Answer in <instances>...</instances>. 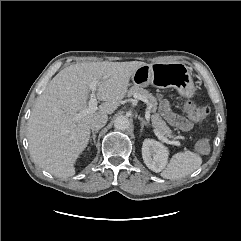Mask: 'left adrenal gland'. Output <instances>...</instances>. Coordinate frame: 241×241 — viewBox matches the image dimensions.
I'll use <instances>...</instances> for the list:
<instances>
[{
    "label": "left adrenal gland",
    "mask_w": 241,
    "mask_h": 241,
    "mask_svg": "<svg viewBox=\"0 0 241 241\" xmlns=\"http://www.w3.org/2000/svg\"><path fill=\"white\" fill-rule=\"evenodd\" d=\"M138 119L141 121V129H140V132L143 131L144 129V126H147L148 127V123L142 118V117H138Z\"/></svg>",
    "instance_id": "1"
}]
</instances>
